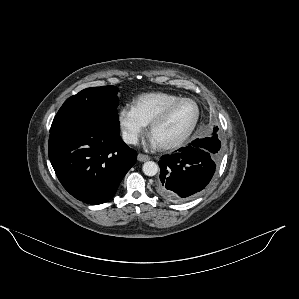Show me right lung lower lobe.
Wrapping results in <instances>:
<instances>
[{
    "instance_id": "1",
    "label": "right lung lower lobe",
    "mask_w": 299,
    "mask_h": 299,
    "mask_svg": "<svg viewBox=\"0 0 299 299\" xmlns=\"http://www.w3.org/2000/svg\"><path fill=\"white\" fill-rule=\"evenodd\" d=\"M49 158L72 196L97 205L114 196L137 153L123 142L119 128L76 123L50 132Z\"/></svg>"
}]
</instances>
